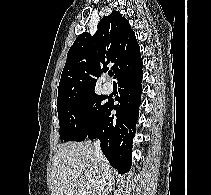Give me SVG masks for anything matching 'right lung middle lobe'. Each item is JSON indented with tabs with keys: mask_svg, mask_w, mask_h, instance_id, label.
<instances>
[{
	"mask_svg": "<svg viewBox=\"0 0 211 195\" xmlns=\"http://www.w3.org/2000/svg\"><path fill=\"white\" fill-rule=\"evenodd\" d=\"M95 92L57 104L61 141H83L106 103Z\"/></svg>",
	"mask_w": 211,
	"mask_h": 195,
	"instance_id": "right-lung-middle-lobe-1",
	"label": "right lung middle lobe"
}]
</instances>
